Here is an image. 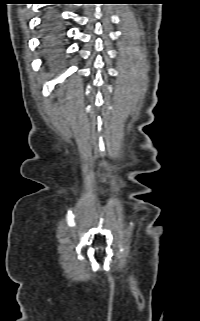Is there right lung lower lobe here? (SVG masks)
<instances>
[{"instance_id": "right-lung-lower-lobe-1", "label": "right lung lower lobe", "mask_w": 200, "mask_h": 321, "mask_svg": "<svg viewBox=\"0 0 200 321\" xmlns=\"http://www.w3.org/2000/svg\"><path fill=\"white\" fill-rule=\"evenodd\" d=\"M54 1V0H52ZM54 22V19H51V20H48V23L50 24L49 26V30H50V33H51V37L54 41H57L59 38H58V30L55 29L51 24Z\"/></svg>"}]
</instances>
